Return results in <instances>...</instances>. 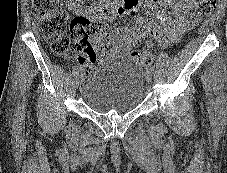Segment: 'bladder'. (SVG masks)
<instances>
[{
    "label": "bladder",
    "instance_id": "1",
    "mask_svg": "<svg viewBox=\"0 0 227 173\" xmlns=\"http://www.w3.org/2000/svg\"><path fill=\"white\" fill-rule=\"evenodd\" d=\"M143 71L129 58L106 61L89 78L83 91L85 104L100 114H125L144 97Z\"/></svg>",
    "mask_w": 227,
    "mask_h": 173
}]
</instances>
